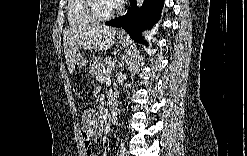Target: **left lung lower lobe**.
I'll use <instances>...</instances> for the list:
<instances>
[{
  "instance_id": "1",
  "label": "left lung lower lobe",
  "mask_w": 247,
  "mask_h": 156,
  "mask_svg": "<svg viewBox=\"0 0 247 156\" xmlns=\"http://www.w3.org/2000/svg\"><path fill=\"white\" fill-rule=\"evenodd\" d=\"M163 0H145L141 8H138L135 0H130L128 12L115 20L106 22V25L123 28L137 42H144L138 35L145 26L151 27L160 17Z\"/></svg>"
}]
</instances>
